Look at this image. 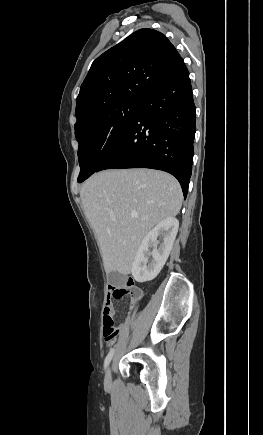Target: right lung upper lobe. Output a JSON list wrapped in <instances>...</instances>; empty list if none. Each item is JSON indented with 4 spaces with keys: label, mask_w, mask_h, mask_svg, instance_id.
<instances>
[{
    "label": "right lung upper lobe",
    "mask_w": 263,
    "mask_h": 435,
    "mask_svg": "<svg viewBox=\"0 0 263 435\" xmlns=\"http://www.w3.org/2000/svg\"><path fill=\"white\" fill-rule=\"evenodd\" d=\"M184 61L167 37L140 29L99 56L81 85L75 127L96 109L124 99L144 100Z\"/></svg>",
    "instance_id": "right-lung-upper-lobe-1"
}]
</instances>
